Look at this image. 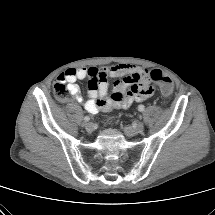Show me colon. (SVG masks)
<instances>
[{
	"label": "colon",
	"instance_id": "5ec220e1",
	"mask_svg": "<svg viewBox=\"0 0 215 215\" xmlns=\"http://www.w3.org/2000/svg\"><path fill=\"white\" fill-rule=\"evenodd\" d=\"M149 77L153 82L157 83L160 86L161 91L165 95L170 94V92L172 91V81L169 76L164 74L162 71L155 69L150 72ZM53 90L55 97L60 101L66 100L70 94L67 86L65 85V82L61 80H57L55 82ZM133 90L137 91V88L134 87ZM152 92V88L146 91L147 94H151Z\"/></svg>",
	"mask_w": 215,
	"mask_h": 215
}]
</instances>
